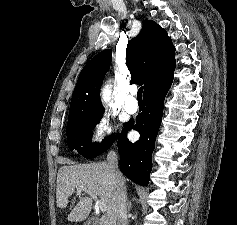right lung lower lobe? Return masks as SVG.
<instances>
[{
	"mask_svg": "<svg viewBox=\"0 0 237 225\" xmlns=\"http://www.w3.org/2000/svg\"><path fill=\"white\" fill-rule=\"evenodd\" d=\"M172 80L162 82L143 95L144 109L134 121L125 124L118 138L120 155V171L133 182L145 186L149 183L152 170V153L155 138L161 125L165 96L172 84ZM134 128L141 136L131 143L127 139V131Z\"/></svg>",
	"mask_w": 237,
	"mask_h": 225,
	"instance_id": "1",
	"label": "right lung lower lobe"
}]
</instances>
